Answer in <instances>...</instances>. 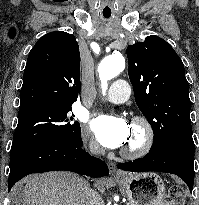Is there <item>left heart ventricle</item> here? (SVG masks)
<instances>
[{
	"label": "left heart ventricle",
	"instance_id": "b2bd125f",
	"mask_svg": "<svg viewBox=\"0 0 199 205\" xmlns=\"http://www.w3.org/2000/svg\"><path fill=\"white\" fill-rule=\"evenodd\" d=\"M140 137H141V132L139 128L131 126L130 137L125 143V147H132L137 145L140 141Z\"/></svg>",
	"mask_w": 199,
	"mask_h": 205
}]
</instances>
